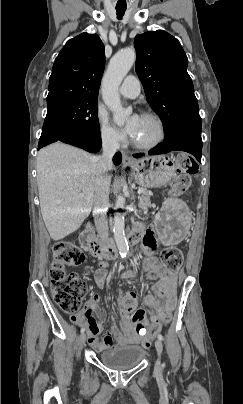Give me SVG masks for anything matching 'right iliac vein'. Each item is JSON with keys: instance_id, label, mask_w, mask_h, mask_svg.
<instances>
[{"instance_id": "obj_1", "label": "right iliac vein", "mask_w": 243, "mask_h": 404, "mask_svg": "<svg viewBox=\"0 0 243 404\" xmlns=\"http://www.w3.org/2000/svg\"><path fill=\"white\" fill-rule=\"evenodd\" d=\"M85 341H86V335H85L84 333H82V334L80 335V342H81V344H84Z\"/></svg>"}]
</instances>
